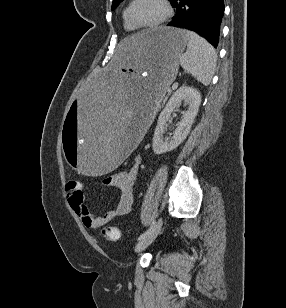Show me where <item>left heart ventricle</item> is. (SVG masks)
Wrapping results in <instances>:
<instances>
[{"label":"left heart ventricle","instance_id":"1","mask_svg":"<svg viewBox=\"0 0 286 308\" xmlns=\"http://www.w3.org/2000/svg\"><path fill=\"white\" fill-rule=\"evenodd\" d=\"M163 13L164 10L159 0H137L132 8V18L140 25L156 22Z\"/></svg>","mask_w":286,"mask_h":308}]
</instances>
